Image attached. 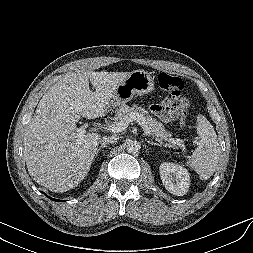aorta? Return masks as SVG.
<instances>
[{"label":"aorta","instance_id":"obj_1","mask_svg":"<svg viewBox=\"0 0 253 253\" xmlns=\"http://www.w3.org/2000/svg\"><path fill=\"white\" fill-rule=\"evenodd\" d=\"M141 145L138 141L136 140H130L127 143V151L131 154H136L140 151Z\"/></svg>","mask_w":253,"mask_h":253}]
</instances>
